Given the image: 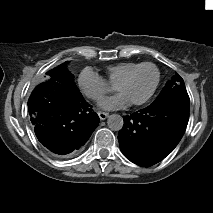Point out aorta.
<instances>
[{
    "mask_svg": "<svg viewBox=\"0 0 213 213\" xmlns=\"http://www.w3.org/2000/svg\"><path fill=\"white\" fill-rule=\"evenodd\" d=\"M107 125L112 131H120L123 128V117L119 114H111L108 116Z\"/></svg>",
    "mask_w": 213,
    "mask_h": 213,
    "instance_id": "1",
    "label": "aorta"
}]
</instances>
